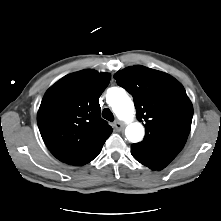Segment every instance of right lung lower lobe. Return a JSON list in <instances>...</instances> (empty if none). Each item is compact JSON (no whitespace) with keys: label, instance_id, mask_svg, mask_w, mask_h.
Returning <instances> with one entry per match:
<instances>
[{"label":"right lung lower lobe","instance_id":"right-lung-lower-lobe-1","mask_svg":"<svg viewBox=\"0 0 221 221\" xmlns=\"http://www.w3.org/2000/svg\"><path fill=\"white\" fill-rule=\"evenodd\" d=\"M102 149V148H101ZM101 149H99L93 156H91L85 163H83L82 165L89 163L90 161H92L94 158H96L98 156V154L100 153Z\"/></svg>","mask_w":221,"mask_h":221}]
</instances>
